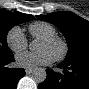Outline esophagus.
<instances>
[{
	"label": "esophagus",
	"instance_id": "34e87169",
	"mask_svg": "<svg viewBox=\"0 0 89 89\" xmlns=\"http://www.w3.org/2000/svg\"><path fill=\"white\" fill-rule=\"evenodd\" d=\"M25 71L27 74H31L33 72V68H27Z\"/></svg>",
	"mask_w": 89,
	"mask_h": 89
}]
</instances>
